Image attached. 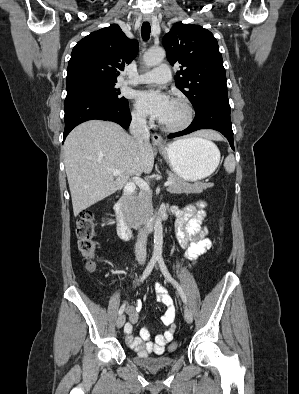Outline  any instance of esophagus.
I'll list each match as a JSON object with an SVG mask.
<instances>
[{"instance_id":"esophagus-1","label":"esophagus","mask_w":299,"mask_h":394,"mask_svg":"<svg viewBox=\"0 0 299 394\" xmlns=\"http://www.w3.org/2000/svg\"><path fill=\"white\" fill-rule=\"evenodd\" d=\"M144 21L145 22H150L151 21V16L150 15H145L144 16ZM152 142L155 146L157 147H163L164 146V142L162 137L159 134H153L152 135Z\"/></svg>"}]
</instances>
